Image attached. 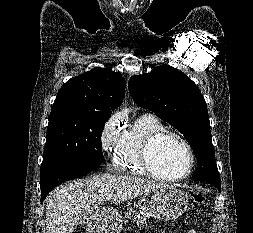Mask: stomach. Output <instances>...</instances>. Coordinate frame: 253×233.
<instances>
[{
	"label": "stomach",
	"instance_id": "stomach-1",
	"mask_svg": "<svg viewBox=\"0 0 253 233\" xmlns=\"http://www.w3.org/2000/svg\"><path fill=\"white\" fill-rule=\"evenodd\" d=\"M138 207L147 216L165 221L175 220L186 211L188 195L173 186H164L144 194ZM102 233H119V227L103 228Z\"/></svg>",
	"mask_w": 253,
	"mask_h": 233
}]
</instances>
